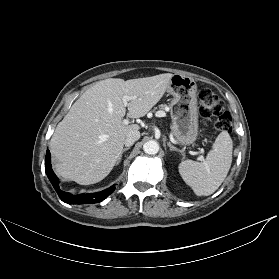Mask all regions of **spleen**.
<instances>
[{
    "mask_svg": "<svg viewBox=\"0 0 279 279\" xmlns=\"http://www.w3.org/2000/svg\"><path fill=\"white\" fill-rule=\"evenodd\" d=\"M233 142L228 132H221L204 162L185 160L179 173L197 196L214 193L226 178L232 163Z\"/></svg>",
    "mask_w": 279,
    "mask_h": 279,
    "instance_id": "1",
    "label": "spleen"
}]
</instances>
